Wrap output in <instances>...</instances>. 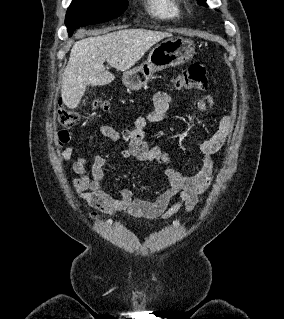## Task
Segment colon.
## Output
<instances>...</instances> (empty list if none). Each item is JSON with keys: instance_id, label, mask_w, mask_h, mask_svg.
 I'll return each mask as SVG.
<instances>
[{"instance_id": "1", "label": "colon", "mask_w": 284, "mask_h": 319, "mask_svg": "<svg viewBox=\"0 0 284 319\" xmlns=\"http://www.w3.org/2000/svg\"><path fill=\"white\" fill-rule=\"evenodd\" d=\"M174 85L178 89H196L205 91L208 89V80L205 66L200 62H194L184 68L174 78ZM93 109H107V103L103 100H96L92 104ZM82 114L77 111L63 110L57 114V120L61 127L69 129L80 121Z\"/></svg>"}]
</instances>
